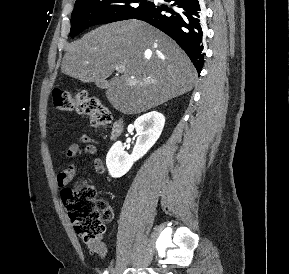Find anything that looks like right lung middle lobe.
Segmentation results:
<instances>
[{
    "mask_svg": "<svg viewBox=\"0 0 289 274\" xmlns=\"http://www.w3.org/2000/svg\"><path fill=\"white\" fill-rule=\"evenodd\" d=\"M152 4L149 0H76L70 36L75 37L93 25L135 18Z\"/></svg>",
    "mask_w": 289,
    "mask_h": 274,
    "instance_id": "1",
    "label": "right lung middle lobe"
}]
</instances>
